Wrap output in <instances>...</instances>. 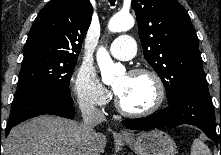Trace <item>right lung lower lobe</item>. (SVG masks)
<instances>
[{
    "label": "right lung lower lobe",
    "mask_w": 221,
    "mask_h": 155,
    "mask_svg": "<svg viewBox=\"0 0 221 155\" xmlns=\"http://www.w3.org/2000/svg\"><path fill=\"white\" fill-rule=\"evenodd\" d=\"M73 103L70 95L60 94L46 88H33L24 93L21 98L12 105L9 121L5 129V136L9 134L12 127L20 122L42 114L72 118L75 114Z\"/></svg>",
    "instance_id": "98d812e1"
}]
</instances>
